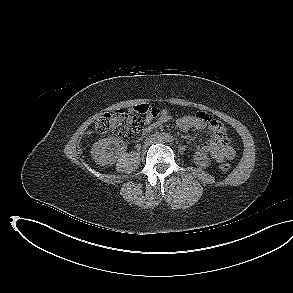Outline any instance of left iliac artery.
<instances>
[{
  "instance_id": "1",
  "label": "left iliac artery",
  "mask_w": 293,
  "mask_h": 293,
  "mask_svg": "<svg viewBox=\"0 0 293 293\" xmlns=\"http://www.w3.org/2000/svg\"><path fill=\"white\" fill-rule=\"evenodd\" d=\"M173 141V138L172 137H169L168 138V142H172Z\"/></svg>"
}]
</instances>
